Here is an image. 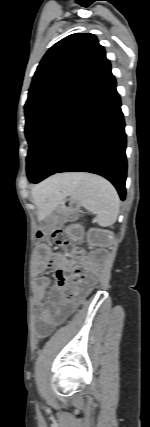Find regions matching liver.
<instances>
[{"label": "liver", "instance_id": "1", "mask_svg": "<svg viewBox=\"0 0 150 427\" xmlns=\"http://www.w3.org/2000/svg\"><path fill=\"white\" fill-rule=\"evenodd\" d=\"M66 177L67 175H56L48 178L47 180L33 188L32 196L40 213H43L48 210L52 204L57 203V201L60 199L58 197L48 195L47 191L50 187L60 186L62 184V181H64Z\"/></svg>", "mask_w": 150, "mask_h": 427}]
</instances>
